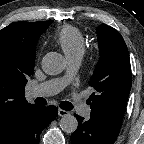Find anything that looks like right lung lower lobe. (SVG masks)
Instances as JSON below:
<instances>
[{
  "mask_svg": "<svg viewBox=\"0 0 144 144\" xmlns=\"http://www.w3.org/2000/svg\"><path fill=\"white\" fill-rule=\"evenodd\" d=\"M57 113L58 109L53 105L33 106L26 111L11 135L0 144H39L42 130L56 118Z\"/></svg>",
  "mask_w": 144,
  "mask_h": 144,
  "instance_id": "1",
  "label": "right lung lower lobe"
}]
</instances>
